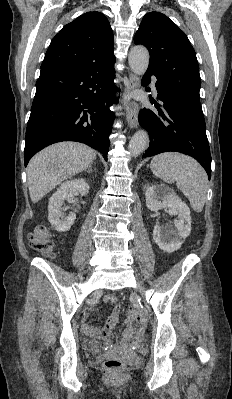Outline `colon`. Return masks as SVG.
Masks as SVG:
<instances>
[{"label": "colon", "mask_w": 232, "mask_h": 399, "mask_svg": "<svg viewBox=\"0 0 232 399\" xmlns=\"http://www.w3.org/2000/svg\"><path fill=\"white\" fill-rule=\"evenodd\" d=\"M37 230L26 237V242L32 249H38L42 257L54 260L58 256L57 249L51 245L48 236L52 233L49 223H38ZM146 315L144 308H133L128 314L126 328H129V337H140V330L144 329ZM109 353H138L135 340H111ZM104 368H109V374H124L126 368L125 355H106L103 363Z\"/></svg>", "instance_id": "obj_1"}]
</instances>
